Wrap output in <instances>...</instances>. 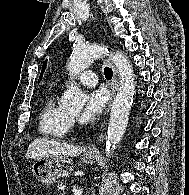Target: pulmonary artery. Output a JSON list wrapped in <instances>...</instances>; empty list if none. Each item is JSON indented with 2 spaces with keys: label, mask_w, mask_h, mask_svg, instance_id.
I'll use <instances>...</instances> for the list:
<instances>
[{
  "label": "pulmonary artery",
  "mask_w": 189,
  "mask_h": 195,
  "mask_svg": "<svg viewBox=\"0 0 189 195\" xmlns=\"http://www.w3.org/2000/svg\"><path fill=\"white\" fill-rule=\"evenodd\" d=\"M79 82L84 86H94L97 84V77L92 72L84 71L78 77Z\"/></svg>",
  "instance_id": "obj_1"
}]
</instances>
